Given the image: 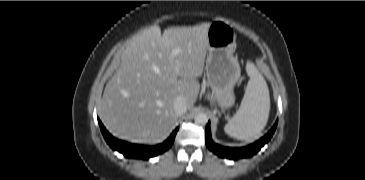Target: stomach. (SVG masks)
Returning <instances> with one entry per match:
<instances>
[{
    "mask_svg": "<svg viewBox=\"0 0 365 180\" xmlns=\"http://www.w3.org/2000/svg\"><path fill=\"white\" fill-rule=\"evenodd\" d=\"M207 40V82L218 106L226 110L235 103L234 86L241 75L239 62L233 55L236 33L229 23L218 19L209 23Z\"/></svg>",
    "mask_w": 365,
    "mask_h": 180,
    "instance_id": "obj_1",
    "label": "stomach"
}]
</instances>
